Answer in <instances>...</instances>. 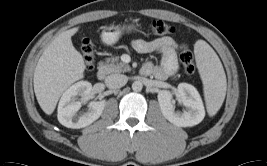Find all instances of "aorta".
Listing matches in <instances>:
<instances>
[{
    "instance_id": "1",
    "label": "aorta",
    "mask_w": 267,
    "mask_h": 166,
    "mask_svg": "<svg viewBox=\"0 0 267 166\" xmlns=\"http://www.w3.org/2000/svg\"><path fill=\"white\" fill-rule=\"evenodd\" d=\"M143 88V84L140 81H134L132 84V89L135 92L141 91Z\"/></svg>"
}]
</instances>
